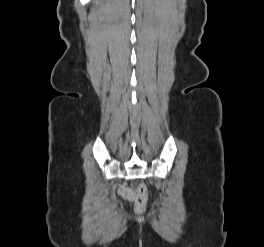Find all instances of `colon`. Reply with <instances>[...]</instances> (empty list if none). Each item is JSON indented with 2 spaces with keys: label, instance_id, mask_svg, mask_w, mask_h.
<instances>
[{
  "label": "colon",
  "instance_id": "1",
  "mask_svg": "<svg viewBox=\"0 0 264 247\" xmlns=\"http://www.w3.org/2000/svg\"><path fill=\"white\" fill-rule=\"evenodd\" d=\"M133 200L136 206L137 211H143L147 205L148 202V192L147 188L144 184H140L135 194L133 195Z\"/></svg>",
  "mask_w": 264,
  "mask_h": 247
}]
</instances>
